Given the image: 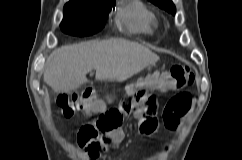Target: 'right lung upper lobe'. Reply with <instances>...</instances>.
I'll use <instances>...</instances> for the list:
<instances>
[{"label":"right lung upper lobe","mask_w":242,"mask_h":160,"mask_svg":"<svg viewBox=\"0 0 242 160\" xmlns=\"http://www.w3.org/2000/svg\"><path fill=\"white\" fill-rule=\"evenodd\" d=\"M96 0H70L67 4H86Z\"/></svg>","instance_id":"obj_1"}]
</instances>
